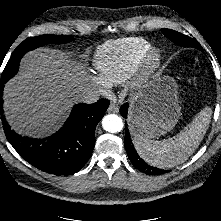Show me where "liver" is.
Listing matches in <instances>:
<instances>
[{
  "instance_id": "obj_1",
  "label": "liver",
  "mask_w": 221,
  "mask_h": 221,
  "mask_svg": "<svg viewBox=\"0 0 221 221\" xmlns=\"http://www.w3.org/2000/svg\"><path fill=\"white\" fill-rule=\"evenodd\" d=\"M83 73L60 51L45 48L26 54L19 74L4 89V111L12 128L28 136L55 130L86 86Z\"/></svg>"
}]
</instances>
